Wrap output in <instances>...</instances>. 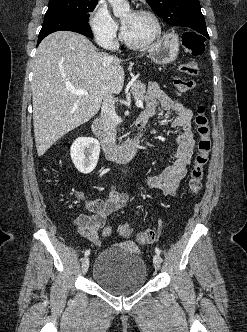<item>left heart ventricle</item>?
I'll return each instance as SVG.
<instances>
[{
	"mask_svg": "<svg viewBox=\"0 0 247 332\" xmlns=\"http://www.w3.org/2000/svg\"><path fill=\"white\" fill-rule=\"evenodd\" d=\"M122 19L125 33L133 42L146 41L155 32V24L148 16L129 11L122 16Z\"/></svg>",
	"mask_w": 247,
	"mask_h": 332,
	"instance_id": "1",
	"label": "left heart ventricle"
}]
</instances>
